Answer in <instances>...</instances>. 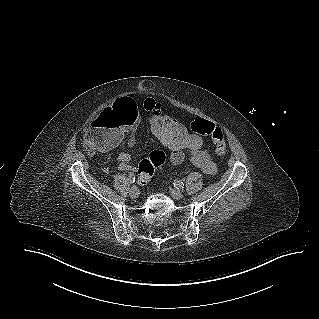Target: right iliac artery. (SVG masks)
Instances as JSON below:
<instances>
[{
    "mask_svg": "<svg viewBox=\"0 0 319 319\" xmlns=\"http://www.w3.org/2000/svg\"><path fill=\"white\" fill-rule=\"evenodd\" d=\"M129 181H130V183H134V182H135V176H134V174H131V175L129 176Z\"/></svg>",
    "mask_w": 319,
    "mask_h": 319,
    "instance_id": "right-iliac-artery-1",
    "label": "right iliac artery"
}]
</instances>
